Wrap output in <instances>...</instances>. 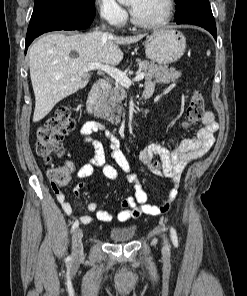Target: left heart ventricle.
Here are the masks:
<instances>
[{
	"label": "left heart ventricle",
	"instance_id": "1",
	"mask_svg": "<svg viewBox=\"0 0 247 296\" xmlns=\"http://www.w3.org/2000/svg\"><path fill=\"white\" fill-rule=\"evenodd\" d=\"M129 4L136 19L144 23L156 22L165 13L164 0H129Z\"/></svg>",
	"mask_w": 247,
	"mask_h": 296
}]
</instances>
